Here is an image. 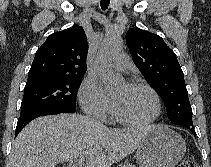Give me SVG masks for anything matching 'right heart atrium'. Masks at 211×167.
Returning a JSON list of instances; mask_svg holds the SVG:
<instances>
[{"instance_id":"right-heart-atrium-1","label":"right heart atrium","mask_w":211,"mask_h":167,"mask_svg":"<svg viewBox=\"0 0 211 167\" xmlns=\"http://www.w3.org/2000/svg\"><path fill=\"white\" fill-rule=\"evenodd\" d=\"M79 99L82 108L87 114L107 120L111 113V106L94 77L84 79L80 86Z\"/></svg>"}]
</instances>
